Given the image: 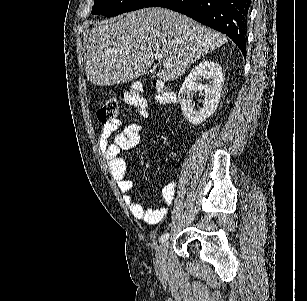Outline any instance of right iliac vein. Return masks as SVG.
<instances>
[{"mask_svg":"<svg viewBox=\"0 0 307 301\" xmlns=\"http://www.w3.org/2000/svg\"><path fill=\"white\" fill-rule=\"evenodd\" d=\"M169 242L163 241L156 253L155 256V267L157 270H163L166 268V256H167V250H168Z\"/></svg>","mask_w":307,"mask_h":301,"instance_id":"right-iliac-vein-1","label":"right iliac vein"}]
</instances>
